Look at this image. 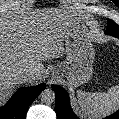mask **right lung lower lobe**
I'll return each mask as SVG.
<instances>
[{
    "instance_id": "obj_1",
    "label": "right lung lower lobe",
    "mask_w": 119,
    "mask_h": 119,
    "mask_svg": "<svg viewBox=\"0 0 119 119\" xmlns=\"http://www.w3.org/2000/svg\"><path fill=\"white\" fill-rule=\"evenodd\" d=\"M45 87L43 83L18 90L9 102L0 108V119H25L29 105Z\"/></svg>"
}]
</instances>
